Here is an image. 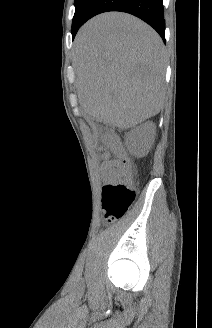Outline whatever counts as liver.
I'll list each match as a JSON object with an SVG mask.
<instances>
[{
    "label": "liver",
    "instance_id": "1",
    "mask_svg": "<svg viewBox=\"0 0 212 328\" xmlns=\"http://www.w3.org/2000/svg\"><path fill=\"white\" fill-rule=\"evenodd\" d=\"M74 46L78 98L87 114L128 129L160 112L165 50L149 25L126 13H103L81 27Z\"/></svg>",
    "mask_w": 212,
    "mask_h": 328
}]
</instances>
